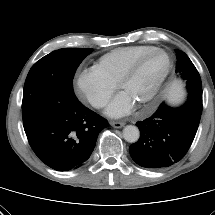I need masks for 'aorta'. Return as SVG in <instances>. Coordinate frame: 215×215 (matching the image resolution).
<instances>
[{
  "label": "aorta",
  "instance_id": "aorta-1",
  "mask_svg": "<svg viewBox=\"0 0 215 215\" xmlns=\"http://www.w3.org/2000/svg\"><path fill=\"white\" fill-rule=\"evenodd\" d=\"M123 137L129 143H135L140 137V131L138 127L133 125H127L123 129Z\"/></svg>",
  "mask_w": 215,
  "mask_h": 215
}]
</instances>
